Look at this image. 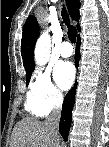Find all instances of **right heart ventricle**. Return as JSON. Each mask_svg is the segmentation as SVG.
I'll return each instance as SVG.
<instances>
[{"instance_id":"obj_1","label":"right heart ventricle","mask_w":109,"mask_h":147,"mask_svg":"<svg viewBox=\"0 0 109 147\" xmlns=\"http://www.w3.org/2000/svg\"><path fill=\"white\" fill-rule=\"evenodd\" d=\"M26 107H27L28 111L35 116H42L43 115L41 113L40 109L34 103H32L28 100H27V103H26Z\"/></svg>"}]
</instances>
